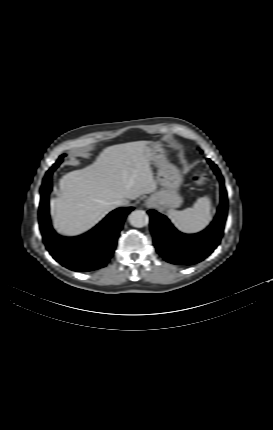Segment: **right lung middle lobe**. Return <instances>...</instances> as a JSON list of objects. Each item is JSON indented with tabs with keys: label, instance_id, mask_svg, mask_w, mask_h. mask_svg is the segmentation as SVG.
<instances>
[{
	"label": "right lung middle lobe",
	"instance_id": "1",
	"mask_svg": "<svg viewBox=\"0 0 273 430\" xmlns=\"http://www.w3.org/2000/svg\"><path fill=\"white\" fill-rule=\"evenodd\" d=\"M64 156H65V154H63L59 157L58 161L53 165L54 169L59 166V164L62 162ZM54 169H52V170H54Z\"/></svg>",
	"mask_w": 273,
	"mask_h": 430
}]
</instances>
